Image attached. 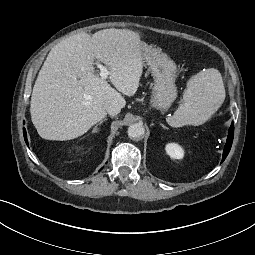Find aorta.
I'll list each match as a JSON object with an SVG mask.
<instances>
[{
	"label": "aorta",
	"mask_w": 255,
	"mask_h": 255,
	"mask_svg": "<svg viewBox=\"0 0 255 255\" xmlns=\"http://www.w3.org/2000/svg\"><path fill=\"white\" fill-rule=\"evenodd\" d=\"M144 133H145V128L140 123L132 124L128 128V136L131 139H139L144 135Z\"/></svg>",
	"instance_id": "obj_1"
}]
</instances>
